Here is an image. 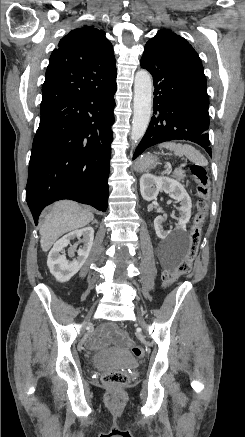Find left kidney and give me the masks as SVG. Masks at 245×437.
I'll use <instances>...</instances> for the list:
<instances>
[{"instance_id": "left-kidney-1", "label": "left kidney", "mask_w": 245, "mask_h": 437, "mask_svg": "<svg viewBox=\"0 0 245 437\" xmlns=\"http://www.w3.org/2000/svg\"><path fill=\"white\" fill-rule=\"evenodd\" d=\"M159 191H164L171 198L180 202L179 212L180 217L178 219V224L174 231H166L162 222L164 218L162 216L156 217L154 220V229L157 236L165 240L169 236L174 238H179L185 235L186 224L189 222L191 217V198L186 192L184 186L178 181L169 177H157L152 174H143L140 178V192L144 200L151 201L157 198Z\"/></svg>"}]
</instances>
